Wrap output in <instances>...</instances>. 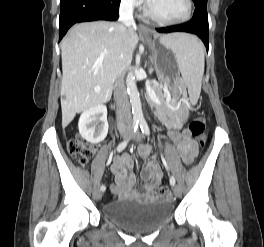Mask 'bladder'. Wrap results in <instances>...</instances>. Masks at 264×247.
Returning <instances> with one entry per match:
<instances>
[{"mask_svg": "<svg viewBox=\"0 0 264 247\" xmlns=\"http://www.w3.org/2000/svg\"><path fill=\"white\" fill-rule=\"evenodd\" d=\"M172 205L161 199L147 202L120 200L103 207L102 216L114 225L134 233L156 229L170 219Z\"/></svg>", "mask_w": 264, "mask_h": 247, "instance_id": "31cf9c89", "label": "bladder"}]
</instances>
